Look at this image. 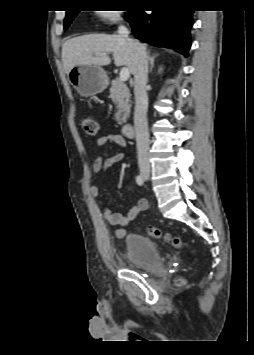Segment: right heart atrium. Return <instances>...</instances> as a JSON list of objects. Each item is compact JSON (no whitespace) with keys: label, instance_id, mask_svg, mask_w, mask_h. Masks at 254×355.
<instances>
[{"label":"right heart atrium","instance_id":"1","mask_svg":"<svg viewBox=\"0 0 254 355\" xmlns=\"http://www.w3.org/2000/svg\"><path fill=\"white\" fill-rule=\"evenodd\" d=\"M100 17L107 22H117L123 19L122 13L115 11H103L100 13Z\"/></svg>","mask_w":254,"mask_h":355}]
</instances>
